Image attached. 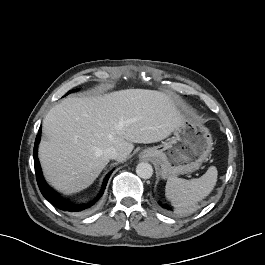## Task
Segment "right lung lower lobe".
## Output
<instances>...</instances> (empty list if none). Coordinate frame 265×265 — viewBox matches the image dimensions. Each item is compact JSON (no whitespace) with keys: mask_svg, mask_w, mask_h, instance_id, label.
Listing matches in <instances>:
<instances>
[{"mask_svg":"<svg viewBox=\"0 0 265 265\" xmlns=\"http://www.w3.org/2000/svg\"><path fill=\"white\" fill-rule=\"evenodd\" d=\"M40 136H41V128L39 129L38 135L35 140V145H34V166H35V172H36V178H37V183L39 186V189L42 193V195L50 202L52 203L55 207L62 211H68V212H79L82 211L88 207H90L104 192V189L106 187L107 181L110 177L111 172L106 176L102 190L98 196V198L89 204L85 205H75L70 203L69 201H66L65 199L61 198L53 189H51L47 183L45 182L42 171L40 168L39 160H38V155H37V149H38V144L40 142Z\"/></svg>","mask_w":265,"mask_h":265,"instance_id":"obj_1","label":"right lung lower lobe"}]
</instances>
